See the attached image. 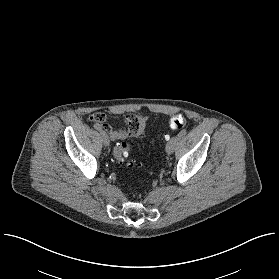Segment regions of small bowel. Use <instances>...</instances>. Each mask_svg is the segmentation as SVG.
<instances>
[{
  "label": "small bowel",
  "mask_w": 279,
  "mask_h": 279,
  "mask_svg": "<svg viewBox=\"0 0 279 279\" xmlns=\"http://www.w3.org/2000/svg\"><path fill=\"white\" fill-rule=\"evenodd\" d=\"M103 119H100V116ZM89 121L98 123L109 134L112 140H124L140 137L144 133L145 119L141 116H126L125 128H113L107 124V115L104 113H92L89 115Z\"/></svg>",
  "instance_id": "1"
}]
</instances>
